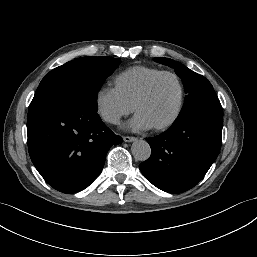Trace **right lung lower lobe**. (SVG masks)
Wrapping results in <instances>:
<instances>
[{
  "mask_svg": "<svg viewBox=\"0 0 257 257\" xmlns=\"http://www.w3.org/2000/svg\"><path fill=\"white\" fill-rule=\"evenodd\" d=\"M30 158L54 189L75 193L101 173L112 145L122 142L92 111L69 101L29 106Z\"/></svg>",
  "mask_w": 257,
  "mask_h": 257,
  "instance_id": "obj_1",
  "label": "right lung lower lobe"
}]
</instances>
